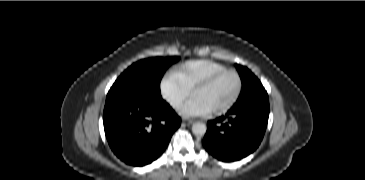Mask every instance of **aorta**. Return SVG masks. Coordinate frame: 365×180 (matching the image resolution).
I'll return each instance as SVG.
<instances>
[{"instance_id": "obj_1", "label": "aorta", "mask_w": 365, "mask_h": 180, "mask_svg": "<svg viewBox=\"0 0 365 180\" xmlns=\"http://www.w3.org/2000/svg\"><path fill=\"white\" fill-rule=\"evenodd\" d=\"M206 131H207V126L202 122H195L192 125V132L196 136H203L205 135Z\"/></svg>"}]
</instances>
